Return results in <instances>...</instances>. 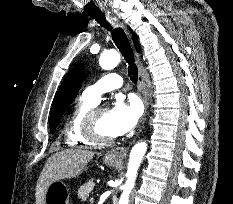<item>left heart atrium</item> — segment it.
Returning <instances> with one entry per match:
<instances>
[{
    "label": "left heart atrium",
    "mask_w": 233,
    "mask_h": 204,
    "mask_svg": "<svg viewBox=\"0 0 233 204\" xmlns=\"http://www.w3.org/2000/svg\"><path fill=\"white\" fill-rule=\"evenodd\" d=\"M142 109L136 99L117 100L109 111L111 129L115 136L131 131L138 123Z\"/></svg>",
    "instance_id": "1"
}]
</instances>
